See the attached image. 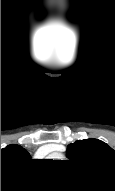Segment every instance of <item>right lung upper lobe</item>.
Instances as JSON below:
<instances>
[{"label":"right lung upper lobe","mask_w":115,"mask_h":191,"mask_svg":"<svg viewBox=\"0 0 115 191\" xmlns=\"http://www.w3.org/2000/svg\"><path fill=\"white\" fill-rule=\"evenodd\" d=\"M29 159V153L20 145L11 144L1 149V168L22 165Z\"/></svg>","instance_id":"obj_1"}]
</instances>
